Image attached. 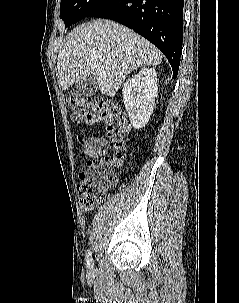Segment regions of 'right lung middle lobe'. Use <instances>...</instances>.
Returning a JSON list of instances; mask_svg holds the SVG:
<instances>
[{
	"instance_id": "obj_1",
	"label": "right lung middle lobe",
	"mask_w": 239,
	"mask_h": 303,
	"mask_svg": "<svg viewBox=\"0 0 239 303\" xmlns=\"http://www.w3.org/2000/svg\"><path fill=\"white\" fill-rule=\"evenodd\" d=\"M106 0H62L60 15L65 23V28L77 23L83 17L88 16Z\"/></svg>"
}]
</instances>
